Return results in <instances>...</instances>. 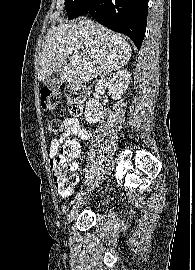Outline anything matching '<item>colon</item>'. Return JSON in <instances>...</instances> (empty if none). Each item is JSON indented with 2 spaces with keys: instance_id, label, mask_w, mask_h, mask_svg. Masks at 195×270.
I'll list each match as a JSON object with an SVG mask.
<instances>
[{
  "instance_id": "5ec220e1",
  "label": "colon",
  "mask_w": 195,
  "mask_h": 270,
  "mask_svg": "<svg viewBox=\"0 0 195 270\" xmlns=\"http://www.w3.org/2000/svg\"><path fill=\"white\" fill-rule=\"evenodd\" d=\"M65 98L72 115L78 116L82 113L87 101L89 91L84 85H70L65 89ZM61 95L56 90L42 89L40 91L41 106L45 111H53L60 102ZM48 130L52 135H59L63 131V123L59 119L48 121ZM80 147L76 141L70 140L64 143L59 154L54 159L52 168L53 181L60 195L69 193L77 184L78 177L75 174L74 158L78 156Z\"/></svg>"
}]
</instances>
